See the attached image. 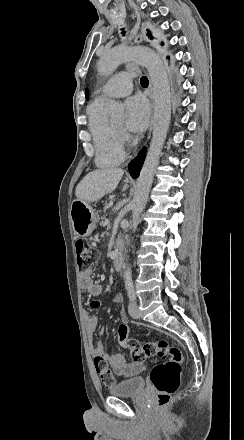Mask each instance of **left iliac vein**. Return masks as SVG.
Returning a JSON list of instances; mask_svg holds the SVG:
<instances>
[{
	"label": "left iliac vein",
	"mask_w": 244,
	"mask_h": 440,
	"mask_svg": "<svg viewBox=\"0 0 244 440\" xmlns=\"http://www.w3.org/2000/svg\"><path fill=\"white\" fill-rule=\"evenodd\" d=\"M128 313L131 317L135 318V319H139L140 318V312H139V308L138 305L135 302H131L128 306Z\"/></svg>",
	"instance_id": "obj_1"
}]
</instances>
